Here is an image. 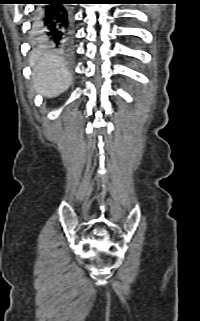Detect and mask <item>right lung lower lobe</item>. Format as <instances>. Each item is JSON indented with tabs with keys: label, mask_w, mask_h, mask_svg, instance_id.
Masks as SVG:
<instances>
[{
	"label": "right lung lower lobe",
	"mask_w": 200,
	"mask_h": 321,
	"mask_svg": "<svg viewBox=\"0 0 200 321\" xmlns=\"http://www.w3.org/2000/svg\"><path fill=\"white\" fill-rule=\"evenodd\" d=\"M35 25L57 45L68 47L71 42L70 10L72 0H35Z\"/></svg>",
	"instance_id": "obj_1"
}]
</instances>
